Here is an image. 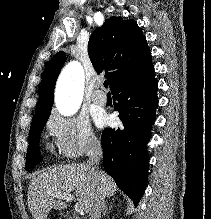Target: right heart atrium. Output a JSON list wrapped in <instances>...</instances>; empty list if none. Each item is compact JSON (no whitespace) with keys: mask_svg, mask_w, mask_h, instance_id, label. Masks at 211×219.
Returning a JSON list of instances; mask_svg holds the SVG:
<instances>
[{"mask_svg":"<svg viewBox=\"0 0 211 219\" xmlns=\"http://www.w3.org/2000/svg\"><path fill=\"white\" fill-rule=\"evenodd\" d=\"M45 128L63 158L76 159L99 149V140L85 117L64 116L54 111L49 115Z\"/></svg>","mask_w":211,"mask_h":219,"instance_id":"obj_1","label":"right heart atrium"}]
</instances>
